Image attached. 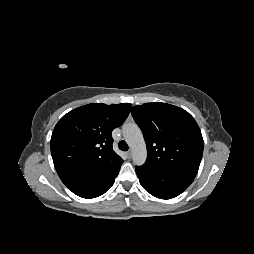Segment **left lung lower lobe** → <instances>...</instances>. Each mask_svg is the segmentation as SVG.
I'll return each instance as SVG.
<instances>
[{
    "instance_id": "left-lung-lower-lobe-1",
    "label": "left lung lower lobe",
    "mask_w": 254,
    "mask_h": 254,
    "mask_svg": "<svg viewBox=\"0 0 254 254\" xmlns=\"http://www.w3.org/2000/svg\"><path fill=\"white\" fill-rule=\"evenodd\" d=\"M142 187L160 199H171L181 194L192 182V178L169 174L142 165L136 167Z\"/></svg>"
}]
</instances>
